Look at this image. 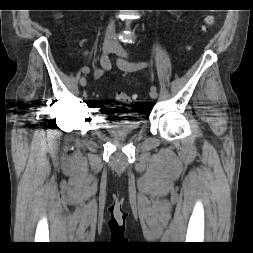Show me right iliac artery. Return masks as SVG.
Segmentation results:
<instances>
[{"mask_svg":"<svg viewBox=\"0 0 253 253\" xmlns=\"http://www.w3.org/2000/svg\"><path fill=\"white\" fill-rule=\"evenodd\" d=\"M101 66L105 69L110 68V61L108 59V56L106 54H103L100 59ZM81 74L82 75H89L90 74V68L89 67H82L81 68Z\"/></svg>","mask_w":253,"mask_h":253,"instance_id":"82829eb1","label":"right iliac artery"}]
</instances>
